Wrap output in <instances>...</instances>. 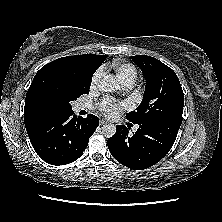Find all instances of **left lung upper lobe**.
<instances>
[{
  "label": "left lung upper lobe",
  "instance_id": "5c2ea615",
  "mask_svg": "<svg viewBox=\"0 0 222 222\" xmlns=\"http://www.w3.org/2000/svg\"><path fill=\"white\" fill-rule=\"evenodd\" d=\"M132 60L142 70L146 88L141 104L126 118L137 124L160 118L182 121L184 94L176 73L151 56H132Z\"/></svg>",
  "mask_w": 222,
  "mask_h": 222
}]
</instances>
